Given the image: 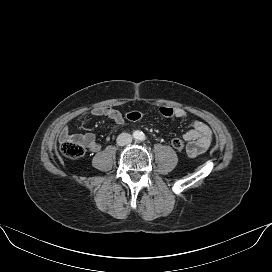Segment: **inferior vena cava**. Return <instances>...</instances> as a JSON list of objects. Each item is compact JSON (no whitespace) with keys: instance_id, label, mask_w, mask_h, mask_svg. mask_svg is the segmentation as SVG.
I'll return each instance as SVG.
<instances>
[{"instance_id":"inferior-vena-cava-1","label":"inferior vena cava","mask_w":272,"mask_h":272,"mask_svg":"<svg viewBox=\"0 0 272 272\" xmlns=\"http://www.w3.org/2000/svg\"><path fill=\"white\" fill-rule=\"evenodd\" d=\"M132 142V136L128 133H121L117 137V144L124 146Z\"/></svg>"}]
</instances>
